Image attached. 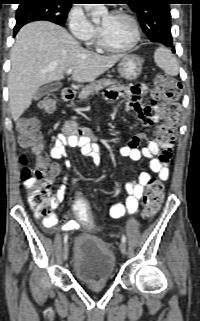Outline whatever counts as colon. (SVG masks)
Returning <instances> with one entry per match:
<instances>
[{
    "label": "colon",
    "instance_id": "1",
    "mask_svg": "<svg viewBox=\"0 0 200 321\" xmlns=\"http://www.w3.org/2000/svg\"><path fill=\"white\" fill-rule=\"evenodd\" d=\"M180 92L179 83L170 76L159 73L155 77L150 99L159 101L164 106V121L155 131L158 140L166 147L164 149L166 159L171 158L172 145L179 124V107L176 100L179 98ZM55 107L56 99L54 96H47L40 102V109L47 115L51 114ZM19 129L21 145L35 154L33 161H30L26 154H22L19 159L22 166L23 186L28 195L29 205L36 215L47 216L49 215L47 207L50 195L49 178L54 174V168L41 152L38 120L36 118L22 119L19 123ZM162 200L163 186L159 181L152 180L143 200V218H152L160 209ZM87 202L88 197L83 196L82 191H75L70 211L74 212L76 222H82L86 228L91 229L94 226V221Z\"/></svg>",
    "mask_w": 200,
    "mask_h": 321
}]
</instances>
